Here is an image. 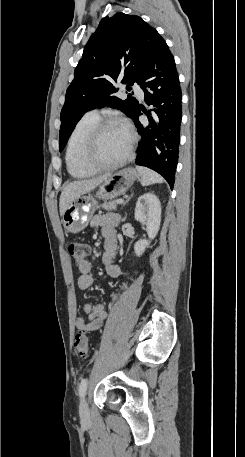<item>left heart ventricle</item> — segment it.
<instances>
[{"mask_svg": "<svg viewBox=\"0 0 245 457\" xmlns=\"http://www.w3.org/2000/svg\"><path fill=\"white\" fill-rule=\"evenodd\" d=\"M129 143L130 138L124 129L108 128L102 134L99 143L90 148L87 158L95 165L113 161L126 152Z\"/></svg>", "mask_w": 245, "mask_h": 457, "instance_id": "b2bd125f", "label": "left heart ventricle"}]
</instances>
